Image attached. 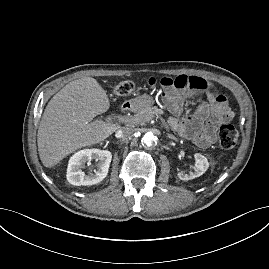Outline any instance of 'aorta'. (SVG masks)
<instances>
[{
	"label": "aorta",
	"instance_id": "1",
	"mask_svg": "<svg viewBox=\"0 0 269 269\" xmlns=\"http://www.w3.org/2000/svg\"><path fill=\"white\" fill-rule=\"evenodd\" d=\"M155 140H156V137H155V135H154L153 133H151V132H147V133H145V134L143 135V137H142V143H144V144L147 145V146H151V145H153L154 142H155Z\"/></svg>",
	"mask_w": 269,
	"mask_h": 269
}]
</instances>
